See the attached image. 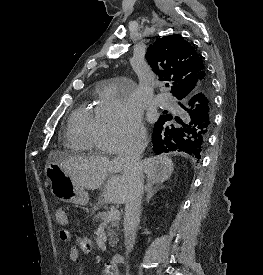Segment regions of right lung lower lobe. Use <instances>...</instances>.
Here are the masks:
<instances>
[{
	"instance_id": "obj_1",
	"label": "right lung lower lobe",
	"mask_w": 263,
	"mask_h": 275,
	"mask_svg": "<svg viewBox=\"0 0 263 275\" xmlns=\"http://www.w3.org/2000/svg\"><path fill=\"white\" fill-rule=\"evenodd\" d=\"M177 99H183L180 106L185 110V116L183 120L171 114L160 116L152 133L153 150L156 154L183 151L199 160L212 126L208 119L211 84L207 81L195 93H185Z\"/></svg>"
}]
</instances>
